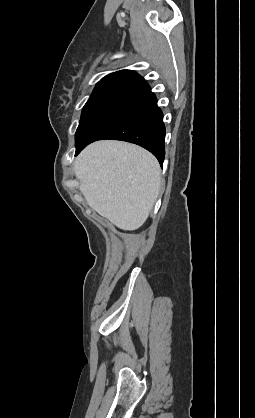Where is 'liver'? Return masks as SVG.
<instances>
[{
  "label": "liver",
  "instance_id": "liver-1",
  "mask_svg": "<svg viewBox=\"0 0 255 418\" xmlns=\"http://www.w3.org/2000/svg\"><path fill=\"white\" fill-rule=\"evenodd\" d=\"M74 172L87 204L123 230L144 224L160 191L157 159L130 143H92L76 158Z\"/></svg>",
  "mask_w": 255,
  "mask_h": 418
}]
</instances>
